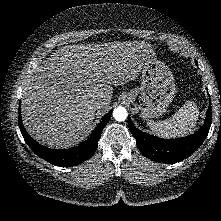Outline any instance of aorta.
I'll list each match as a JSON object with an SVG mask.
<instances>
[{
    "label": "aorta",
    "mask_w": 221,
    "mask_h": 221,
    "mask_svg": "<svg viewBox=\"0 0 221 221\" xmlns=\"http://www.w3.org/2000/svg\"><path fill=\"white\" fill-rule=\"evenodd\" d=\"M127 116L128 113L125 107L119 106L113 110V117L116 121L119 122L125 121Z\"/></svg>",
    "instance_id": "obj_1"
}]
</instances>
